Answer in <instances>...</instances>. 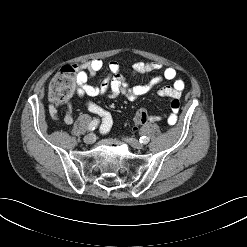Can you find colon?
Wrapping results in <instances>:
<instances>
[{"label":"colon","mask_w":247,"mask_h":247,"mask_svg":"<svg viewBox=\"0 0 247 247\" xmlns=\"http://www.w3.org/2000/svg\"><path fill=\"white\" fill-rule=\"evenodd\" d=\"M77 78L75 73V66H64L51 80L49 84V98L53 103H61L68 101L76 88ZM179 100L172 102V108L179 110ZM148 113L141 109L136 112L133 117V125L139 127L147 123Z\"/></svg>","instance_id":"5ec220e1"}]
</instances>
